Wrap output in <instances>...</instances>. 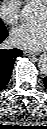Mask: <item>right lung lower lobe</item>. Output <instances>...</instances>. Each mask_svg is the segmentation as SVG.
Instances as JSON below:
<instances>
[{
    "instance_id": "1",
    "label": "right lung lower lobe",
    "mask_w": 47,
    "mask_h": 129,
    "mask_svg": "<svg viewBox=\"0 0 47 129\" xmlns=\"http://www.w3.org/2000/svg\"><path fill=\"white\" fill-rule=\"evenodd\" d=\"M8 36L7 29L0 28V43ZM22 54V51L19 49H0V91L8 83L13 64L18 56Z\"/></svg>"
}]
</instances>
